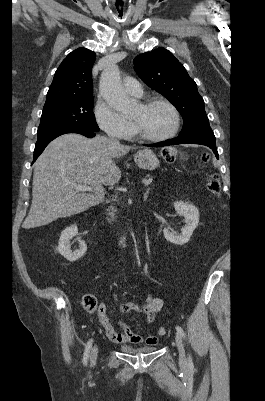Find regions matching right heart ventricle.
<instances>
[{"label": "right heart ventricle", "mask_w": 265, "mask_h": 401, "mask_svg": "<svg viewBox=\"0 0 265 401\" xmlns=\"http://www.w3.org/2000/svg\"><path fill=\"white\" fill-rule=\"evenodd\" d=\"M133 134H134V132H133ZM133 134H132V135H133ZM132 135H131V136H132ZM129 137H130V136H129ZM129 137H125V138H118V139H128Z\"/></svg>", "instance_id": "right-heart-ventricle-1"}]
</instances>
